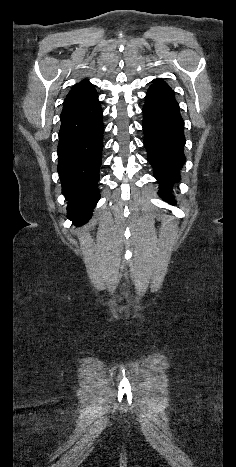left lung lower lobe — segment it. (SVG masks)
Here are the masks:
<instances>
[{"mask_svg": "<svg viewBox=\"0 0 236 467\" xmlns=\"http://www.w3.org/2000/svg\"><path fill=\"white\" fill-rule=\"evenodd\" d=\"M144 145L154 176L160 184L159 194L175 204L169 188L180 179L185 162L184 121L172 89L150 87L143 107Z\"/></svg>", "mask_w": 236, "mask_h": 467, "instance_id": "0a47b994", "label": "left lung lower lobe"}]
</instances>
